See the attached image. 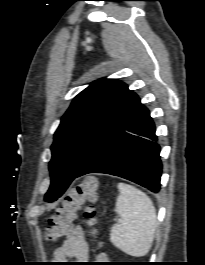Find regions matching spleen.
<instances>
[{"mask_svg": "<svg viewBox=\"0 0 205 265\" xmlns=\"http://www.w3.org/2000/svg\"><path fill=\"white\" fill-rule=\"evenodd\" d=\"M115 212L117 223L110 232L115 247L128 255H146L152 246L157 218L151 199L134 186L120 182Z\"/></svg>", "mask_w": 205, "mask_h": 265, "instance_id": "obj_1", "label": "spleen"}]
</instances>
